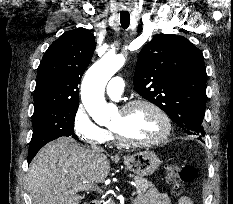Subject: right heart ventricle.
<instances>
[{
  "label": "right heart ventricle",
  "instance_id": "right-heart-ventricle-1",
  "mask_svg": "<svg viewBox=\"0 0 233 204\" xmlns=\"http://www.w3.org/2000/svg\"><path fill=\"white\" fill-rule=\"evenodd\" d=\"M109 139H112V137H111V134H110V137H109Z\"/></svg>",
  "mask_w": 233,
  "mask_h": 204
}]
</instances>
